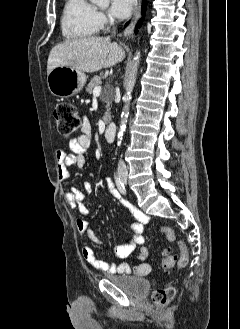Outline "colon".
Wrapping results in <instances>:
<instances>
[{"label":"colon","mask_w":240,"mask_h":329,"mask_svg":"<svg viewBox=\"0 0 240 329\" xmlns=\"http://www.w3.org/2000/svg\"><path fill=\"white\" fill-rule=\"evenodd\" d=\"M54 116L57 121L58 131L64 137L71 136L82 125V119L78 109L71 103L61 102L56 105ZM159 231L170 241L177 240L174 230L167 226H161ZM180 255H176L169 249L165 250L162 259V267L167 270L173 266L182 268L188 262L187 248L181 240H177ZM175 295V290L171 286H164L152 292L151 298L155 304L164 305L169 303Z\"/></svg>","instance_id":"1"}]
</instances>
